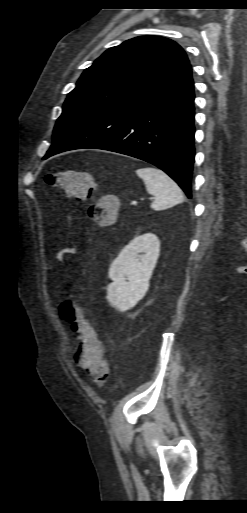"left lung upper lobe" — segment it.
Here are the masks:
<instances>
[{
	"label": "left lung upper lobe",
	"mask_w": 247,
	"mask_h": 513,
	"mask_svg": "<svg viewBox=\"0 0 247 513\" xmlns=\"http://www.w3.org/2000/svg\"><path fill=\"white\" fill-rule=\"evenodd\" d=\"M189 65L174 41L141 36L105 51L68 94L48 152L97 119L168 81ZM47 152V153H48Z\"/></svg>",
	"instance_id": "obj_1"
}]
</instances>
